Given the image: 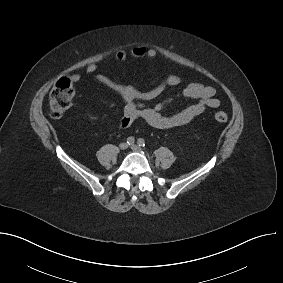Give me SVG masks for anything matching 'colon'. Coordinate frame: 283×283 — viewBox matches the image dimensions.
<instances>
[{"label":"colon","mask_w":283,"mask_h":283,"mask_svg":"<svg viewBox=\"0 0 283 283\" xmlns=\"http://www.w3.org/2000/svg\"><path fill=\"white\" fill-rule=\"evenodd\" d=\"M75 95V88L69 78L59 79L51 89L49 95L50 113L54 118H59L70 106ZM215 119L220 123L228 120L224 111L215 113Z\"/></svg>","instance_id":"1"}]
</instances>
